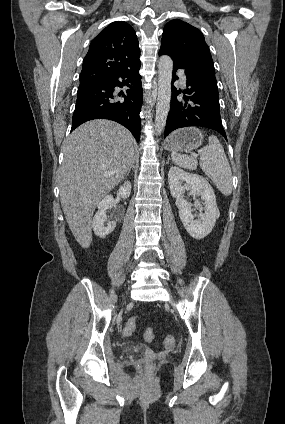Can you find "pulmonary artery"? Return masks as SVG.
Masks as SVG:
<instances>
[{"mask_svg": "<svg viewBox=\"0 0 285 424\" xmlns=\"http://www.w3.org/2000/svg\"><path fill=\"white\" fill-rule=\"evenodd\" d=\"M178 72L180 73L181 81H182L183 83H185V76L183 75V69H179V70H178Z\"/></svg>", "mask_w": 285, "mask_h": 424, "instance_id": "e3ab8cb5", "label": "pulmonary artery"}]
</instances>
